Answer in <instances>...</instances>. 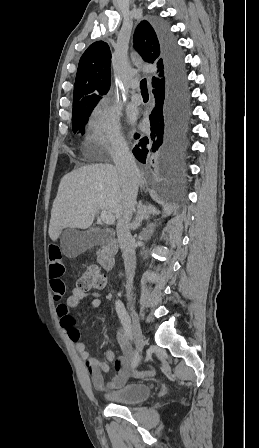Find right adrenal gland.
<instances>
[{"label":"right adrenal gland","mask_w":259,"mask_h":448,"mask_svg":"<svg viewBox=\"0 0 259 448\" xmlns=\"http://www.w3.org/2000/svg\"><path fill=\"white\" fill-rule=\"evenodd\" d=\"M150 214H158V212H153V208H151L150 204L148 206H145L143 202H139L137 206V216L131 226L132 230H138L140 226H142V222L144 220H149Z\"/></svg>","instance_id":"obj_1"}]
</instances>
